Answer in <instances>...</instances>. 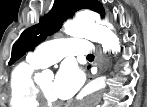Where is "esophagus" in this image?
<instances>
[{"label":"esophagus","instance_id":"34e87169","mask_svg":"<svg viewBox=\"0 0 147 107\" xmlns=\"http://www.w3.org/2000/svg\"><path fill=\"white\" fill-rule=\"evenodd\" d=\"M95 60H96L97 66H98V73L100 74L103 71L105 59H104V55H103L102 50L99 45L96 46Z\"/></svg>","mask_w":147,"mask_h":107}]
</instances>
